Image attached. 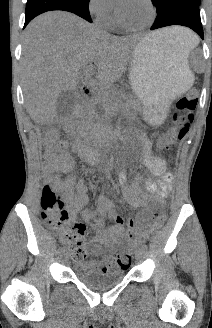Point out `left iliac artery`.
Listing matches in <instances>:
<instances>
[{
  "label": "left iliac artery",
  "instance_id": "left-iliac-artery-1",
  "mask_svg": "<svg viewBox=\"0 0 212 328\" xmlns=\"http://www.w3.org/2000/svg\"><path fill=\"white\" fill-rule=\"evenodd\" d=\"M141 248H142L143 250H147V245H146V244H142V245H141Z\"/></svg>",
  "mask_w": 212,
  "mask_h": 328
}]
</instances>
